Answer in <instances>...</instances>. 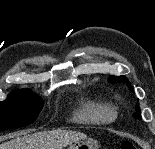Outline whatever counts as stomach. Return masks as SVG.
I'll return each instance as SVG.
<instances>
[{"label":"stomach","mask_w":155,"mask_h":149,"mask_svg":"<svg viewBox=\"0 0 155 149\" xmlns=\"http://www.w3.org/2000/svg\"><path fill=\"white\" fill-rule=\"evenodd\" d=\"M68 149H98V141L86 137L70 144Z\"/></svg>","instance_id":"0dacf381"}]
</instances>
